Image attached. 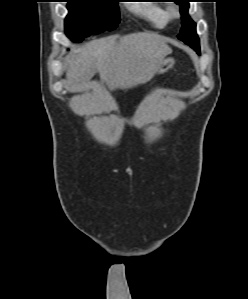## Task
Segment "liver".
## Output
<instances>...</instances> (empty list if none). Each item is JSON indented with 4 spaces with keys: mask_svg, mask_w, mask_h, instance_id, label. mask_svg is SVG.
Returning a JSON list of instances; mask_svg holds the SVG:
<instances>
[{
    "mask_svg": "<svg viewBox=\"0 0 248 299\" xmlns=\"http://www.w3.org/2000/svg\"><path fill=\"white\" fill-rule=\"evenodd\" d=\"M171 52L165 37L149 32L91 41L77 56L70 58L66 72L68 89L71 92L82 90L96 72L111 90L145 84Z\"/></svg>",
    "mask_w": 248,
    "mask_h": 299,
    "instance_id": "liver-1",
    "label": "liver"
}]
</instances>
